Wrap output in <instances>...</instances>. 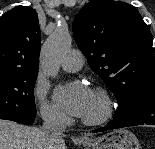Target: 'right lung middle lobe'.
<instances>
[{
    "mask_svg": "<svg viewBox=\"0 0 155 149\" xmlns=\"http://www.w3.org/2000/svg\"><path fill=\"white\" fill-rule=\"evenodd\" d=\"M37 71H0V119L19 123L36 115L33 88Z\"/></svg>",
    "mask_w": 155,
    "mask_h": 149,
    "instance_id": "dd1d6c3e",
    "label": "right lung middle lobe"
}]
</instances>
